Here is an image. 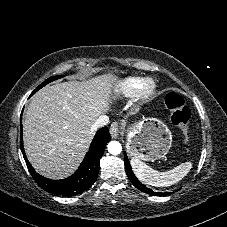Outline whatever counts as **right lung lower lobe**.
Instances as JSON below:
<instances>
[{"instance_id":"right-lung-lower-lobe-1","label":"right lung lower lobe","mask_w":227,"mask_h":227,"mask_svg":"<svg viewBox=\"0 0 227 227\" xmlns=\"http://www.w3.org/2000/svg\"><path fill=\"white\" fill-rule=\"evenodd\" d=\"M22 119V118H21ZM111 140L107 127L100 129L84 157L79 168L70 177L62 180H52L41 176L33 169L25 155L22 138V124L20 135V148L31 176L37 184L49 193L63 196H73L89 189L96 181L99 172V161L102 157L106 144Z\"/></svg>"}]
</instances>
